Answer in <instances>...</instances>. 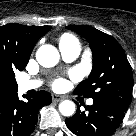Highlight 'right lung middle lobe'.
Masks as SVG:
<instances>
[{"label": "right lung middle lobe", "mask_w": 136, "mask_h": 136, "mask_svg": "<svg viewBox=\"0 0 136 136\" xmlns=\"http://www.w3.org/2000/svg\"><path fill=\"white\" fill-rule=\"evenodd\" d=\"M0 85L9 93L17 92V83L15 80V74L13 70H10L6 77L0 82Z\"/></svg>", "instance_id": "1"}]
</instances>
